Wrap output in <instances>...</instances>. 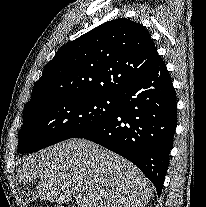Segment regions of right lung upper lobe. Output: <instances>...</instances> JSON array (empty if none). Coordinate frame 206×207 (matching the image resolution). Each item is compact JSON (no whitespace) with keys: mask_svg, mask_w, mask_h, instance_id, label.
Returning a JSON list of instances; mask_svg holds the SVG:
<instances>
[{"mask_svg":"<svg viewBox=\"0 0 206 207\" xmlns=\"http://www.w3.org/2000/svg\"><path fill=\"white\" fill-rule=\"evenodd\" d=\"M159 59L141 24L125 18L105 22L57 51L24 110L54 99L118 95Z\"/></svg>","mask_w":206,"mask_h":207,"instance_id":"1","label":"right lung upper lobe"}]
</instances>
